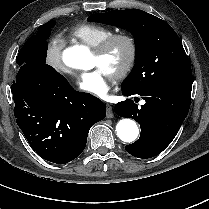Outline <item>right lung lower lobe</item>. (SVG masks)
Masks as SVG:
<instances>
[{
  "instance_id": "1",
  "label": "right lung lower lobe",
  "mask_w": 209,
  "mask_h": 209,
  "mask_svg": "<svg viewBox=\"0 0 209 209\" xmlns=\"http://www.w3.org/2000/svg\"><path fill=\"white\" fill-rule=\"evenodd\" d=\"M11 91L18 126L33 150L53 163L78 157L91 126L106 116L101 100L75 91L47 64L21 65Z\"/></svg>"
}]
</instances>
